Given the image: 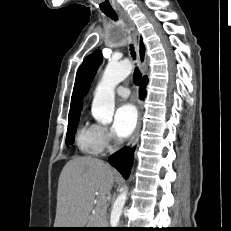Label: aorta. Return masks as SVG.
Instances as JSON below:
<instances>
[{
	"label": "aorta",
	"mask_w": 231,
	"mask_h": 231,
	"mask_svg": "<svg viewBox=\"0 0 231 231\" xmlns=\"http://www.w3.org/2000/svg\"><path fill=\"white\" fill-rule=\"evenodd\" d=\"M132 68L133 65L129 60L109 61L101 82L96 88L92 103V115L96 121L103 124L112 122L115 107L114 89L130 75ZM126 199L127 188L122 190L113 204L110 216V225L112 227L118 226Z\"/></svg>",
	"instance_id": "aorta-1"
}]
</instances>
